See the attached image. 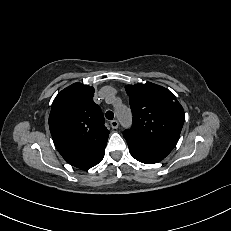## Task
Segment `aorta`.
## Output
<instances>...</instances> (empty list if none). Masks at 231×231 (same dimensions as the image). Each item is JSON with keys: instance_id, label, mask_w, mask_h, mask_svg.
Returning a JSON list of instances; mask_svg holds the SVG:
<instances>
[{"instance_id": "aorta-1", "label": "aorta", "mask_w": 231, "mask_h": 231, "mask_svg": "<svg viewBox=\"0 0 231 231\" xmlns=\"http://www.w3.org/2000/svg\"><path fill=\"white\" fill-rule=\"evenodd\" d=\"M117 115L124 125H129L131 123V111L126 106H120L117 108Z\"/></svg>"}]
</instances>
